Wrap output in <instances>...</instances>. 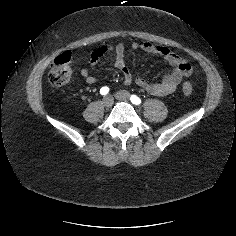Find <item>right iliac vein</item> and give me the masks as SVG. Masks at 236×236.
<instances>
[{
    "label": "right iliac vein",
    "mask_w": 236,
    "mask_h": 236,
    "mask_svg": "<svg viewBox=\"0 0 236 236\" xmlns=\"http://www.w3.org/2000/svg\"><path fill=\"white\" fill-rule=\"evenodd\" d=\"M102 103L106 108H110L114 103L113 97L111 95L105 96L102 100Z\"/></svg>",
    "instance_id": "right-iliac-vein-1"
}]
</instances>
